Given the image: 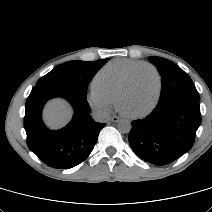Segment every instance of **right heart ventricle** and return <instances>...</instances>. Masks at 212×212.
Segmentation results:
<instances>
[{
  "instance_id": "e07e8e85",
  "label": "right heart ventricle",
  "mask_w": 212,
  "mask_h": 212,
  "mask_svg": "<svg viewBox=\"0 0 212 212\" xmlns=\"http://www.w3.org/2000/svg\"><path fill=\"white\" fill-rule=\"evenodd\" d=\"M142 63L143 62L128 59L113 60L97 73L94 84L97 88L115 100L129 72Z\"/></svg>"
}]
</instances>
